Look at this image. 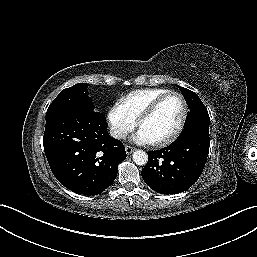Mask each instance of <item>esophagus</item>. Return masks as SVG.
<instances>
[{"instance_id": "34e87169", "label": "esophagus", "mask_w": 257, "mask_h": 257, "mask_svg": "<svg viewBox=\"0 0 257 257\" xmlns=\"http://www.w3.org/2000/svg\"><path fill=\"white\" fill-rule=\"evenodd\" d=\"M125 150H126V153L129 155L134 151V148L129 145H126Z\"/></svg>"}]
</instances>
